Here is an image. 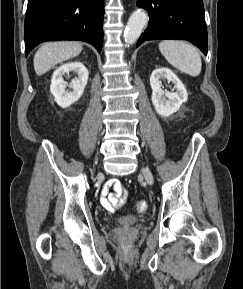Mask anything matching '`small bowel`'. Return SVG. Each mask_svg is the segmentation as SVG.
<instances>
[{"instance_id":"small-bowel-1","label":"small bowel","mask_w":243,"mask_h":289,"mask_svg":"<svg viewBox=\"0 0 243 289\" xmlns=\"http://www.w3.org/2000/svg\"><path fill=\"white\" fill-rule=\"evenodd\" d=\"M112 191H109V189ZM127 191L118 179H111L102 192L101 205L108 211H114L116 207L124 204Z\"/></svg>"}]
</instances>
